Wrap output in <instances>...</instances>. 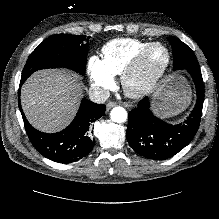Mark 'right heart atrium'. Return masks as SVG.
<instances>
[{
    "label": "right heart atrium",
    "mask_w": 219,
    "mask_h": 219,
    "mask_svg": "<svg viewBox=\"0 0 219 219\" xmlns=\"http://www.w3.org/2000/svg\"><path fill=\"white\" fill-rule=\"evenodd\" d=\"M87 73L93 90L99 94L105 92L113 82V76L105 67L102 59L91 56L87 64Z\"/></svg>",
    "instance_id": "d8ad5b80"
}]
</instances>
